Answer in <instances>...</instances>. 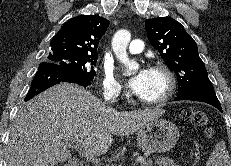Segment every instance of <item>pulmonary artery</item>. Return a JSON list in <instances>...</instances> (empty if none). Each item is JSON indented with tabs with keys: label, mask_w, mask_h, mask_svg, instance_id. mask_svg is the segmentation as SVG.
<instances>
[{
	"label": "pulmonary artery",
	"mask_w": 231,
	"mask_h": 166,
	"mask_svg": "<svg viewBox=\"0 0 231 166\" xmlns=\"http://www.w3.org/2000/svg\"><path fill=\"white\" fill-rule=\"evenodd\" d=\"M144 49V43L142 40L134 39L130 42L128 51L130 54H139Z\"/></svg>",
	"instance_id": "pulmonary-artery-1"
}]
</instances>
